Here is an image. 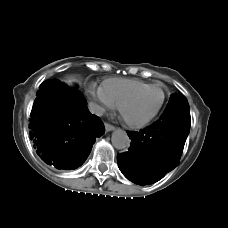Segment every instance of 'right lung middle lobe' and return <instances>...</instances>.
I'll return each instance as SVG.
<instances>
[{
	"mask_svg": "<svg viewBox=\"0 0 228 228\" xmlns=\"http://www.w3.org/2000/svg\"><path fill=\"white\" fill-rule=\"evenodd\" d=\"M50 81H57V80H50ZM73 92H78L76 89H71Z\"/></svg>",
	"mask_w": 228,
	"mask_h": 228,
	"instance_id": "right-lung-middle-lobe-1",
	"label": "right lung middle lobe"
}]
</instances>
